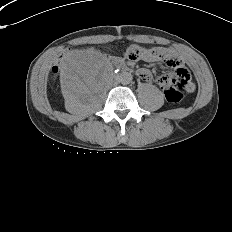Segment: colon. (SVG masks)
Returning a JSON list of instances; mask_svg holds the SVG:
<instances>
[{"instance_id": "1", "label": "colon", "mask_w": 232, "mask_h": 232, "mask_svg": "<svg viewBox=\"0 0 232 232\" xmlns=\"http://www.w3.org/2000/svg\"><path fill=\"white\" fill-rule=\"evenodd\" d=\"M141 50H133L129 53V58L131 60H137L141 57ZM52 71L57 74L59 69L58 66H53ZM179 71V72H178ZM177 75H166L164 80L163 89L165 91V97L170 103H178L183 98L182 90L185 89L186 85L190 81L189 73L186 70H176Z\"/></svg>"}]
</instances>
